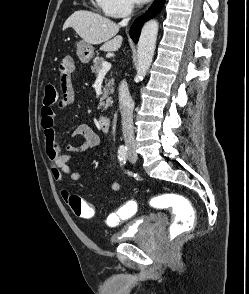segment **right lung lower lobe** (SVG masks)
Wrapping results in <instances>:
<instances>
[{
    "label": "right lung lower lobe",
    "instance_id": "1",
    "mask_svg": "<svg viewBox=\"0 0 249 294\" xmlns=\"http://www.w3.org/2000/svg\"><path fill=\"white\" fill-rule=\"evenodd\" d=\"M165 0H155L150 8L141 17L137 18L130 29V37L134 42L138 41L143 23L156 16L162 9Z\"/></svg>",
    "mask_w": 249,
    "mask_h": 294
}]
</instances>
